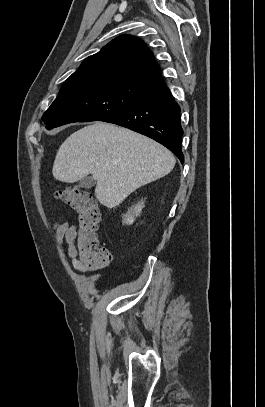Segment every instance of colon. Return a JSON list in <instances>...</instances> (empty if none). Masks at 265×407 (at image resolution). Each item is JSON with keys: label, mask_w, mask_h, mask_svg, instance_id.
<instances>
[{"label": "colon", "mask_w": 265, "mask_h": 407, "mask_svg": "<svg viewBox=\"0 0 265 407\" xmlns=\"http://www.w3.org/2000/svg\"><path fill=\"white\" fill-rule=\"evenodd\" d=\"M55 197L78 214L79 230L76 236V258L88 270L107 268L113 260L112 252L100 246L98 228L101 214L91 194L79 188L65 187L56 190Z\"/></svg>", "instance_id": "obj_1"}]
</instances>
